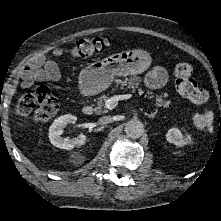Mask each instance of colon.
I'll return each mask as SVG.
<instances>
[{
	"mask_svg": "<svg viewBox=\"0 0 221 221\" xmlns=\"http://www.w3.org/2000/svg\"><path fill=\"white\" fill-rule=\"evenodd\" d=\"M109 46L106 38L95 37L77 41L71 49L74 58L84 59L102 53ZM177 91L195 104H204L208 100V92L200 88L193 77V67L187 62L179 63L174 69ZM57 98L46 86H39L34 91L23 95L16 104L18 115H27L33 111V120L42 122L51 119L57 113Z\"/></svg>",
	"mask_w": 221,
	"mask_h": 221,
	"instance_id": "obj_1",
	"label": "colon"
}]
</instances>
